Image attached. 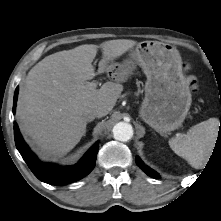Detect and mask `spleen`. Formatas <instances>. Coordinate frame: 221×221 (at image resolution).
<instances>
[{"label":"spleen","mask_w":221,"mask_h":221,"mask_svg":"<svg viewBox=\"0 0 221 221\" xmlns=\"http://www.w3.org/2000/svg\"><path fill=\"white\" fill-rule=\"evenodd\" d=\"M218 130V119L210 118L191 127L185 135L171 138L169 146L192 167L201 169L212 154Z\"/></svg>","instance_id":"3e777b00"}]
</instances>
